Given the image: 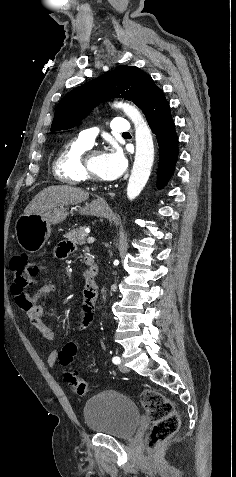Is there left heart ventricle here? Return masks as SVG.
I'll list each match as a JSON object with an SVG mask.
<instances>
[{
    "mask_svg": "<svg viewBox=\"0 0 236 477\" xmlns=\"http://www.w3.org/2000/svg\"><path fill=\"white\" fill-rule=\"evenodd\" d=\"M88 165L94 175L103 179H107L103 169V158L101 154L92 155L88 159Z\"/></svg>",
    "mask_w": 236,
    "mask_h": 477,
    "instance_id": "1",
    "label": "left heart ventricle"
}]
</instances>
